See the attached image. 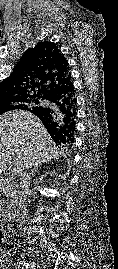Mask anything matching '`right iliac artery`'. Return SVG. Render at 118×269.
<instances>
[{"label":"right iliac artery","mask_w":118,"mask_h":269,"mask_svg":"<svg viewBox=\"0 0 118 269\" xmlns=\"http://www.w3.org/2000/svg\"><path fill=\"white\" fill-rule=\"evenodd\" d=\"M20 264H22V263H20ZM20 268V266H18V269ZM22 269H23V267H22Z\"/></svg>","instance_id":"right-iliac-artery-1"}]
</instances>
